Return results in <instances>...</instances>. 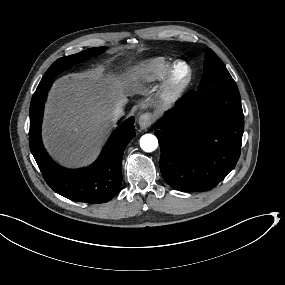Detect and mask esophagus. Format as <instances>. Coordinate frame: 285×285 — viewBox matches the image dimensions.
<instances>
[{
	"instance_id": "1",
	"label": "esophagus",
	"mask_w": 285,
	"mask_h": 285,
	"mask_svg": "<svg viewBox=\"0 0 285 285\" xmlns=\"http://www.w3.org/2000/svg\"><path fill=\"white\" fill-rule=\"evenodd\" d=\"M152 124V117L151 114L149 112L143 113L140 117H139V126L141 128V130H145L147 128H149Z\"/></svg>"
}]
</instances>
